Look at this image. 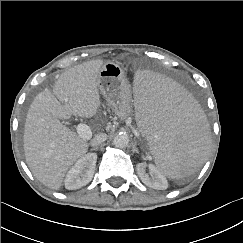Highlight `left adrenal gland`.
<instances>
[{
	"label": "left adrenal gland",
	"mask_w": 243,
	"mask_h": 243,
	"mask_svg": "<svg viewBox=\"0 0 243 243\" xmlns=\"http://www.w3.org/2000/svg\"><path fill=\"white\" fill-rule=\"evenodd\" d=\"M133 152L139 153L138 149L135 146L133 147Z\"/></svg>",
	"instance_id": "left-adrenal-gland-1"
}]
</instances>
